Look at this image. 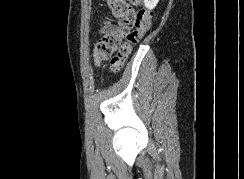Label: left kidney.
<instances>
[{
  "label": "left kidney",
  "instance_id": "left-kidney-1",
  "mask_svg": "<svg viewBox=\"0 0 244 179\" xmlns=\"http://www.w3.org/2000/svg\"><path fill=\"white\" fill-rule=\"evenodd\" d=\"M159 0H144V4L148 10H154L155 6H157Z\"/></svg>",
  "mask_w": 244,
  "mask_h": 179
}]
</instances>
